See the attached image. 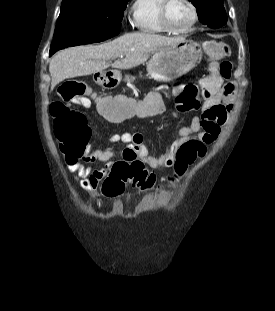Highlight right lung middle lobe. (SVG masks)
Masks as SVG:
<instances>
[{
    "instance_id": "right-lung-middle-lobe-1",
    "label": "right lung middle lobe",
    "mask_w": 275,
    "mask_h": 311,
    "mask_svg": "<svg viewBox=\"0 0 275 311\" xmlns=\"http://www.w3.org/2000/svg\"><path fill=\"white\" fill-rule=\"evenodd\" d=\"M128 0H63L49 54L102 41L119 27Z\"/></svg>"
}]
</instances>
